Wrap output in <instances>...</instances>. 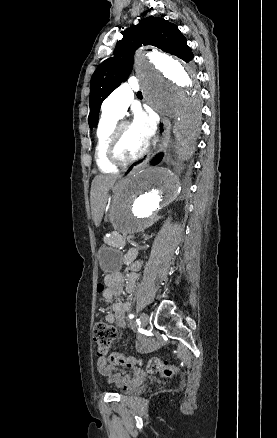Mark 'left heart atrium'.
Masks as SVG:
<instances>
[{
    "instance_id": "39dd6f15",
    "label": "left heart atrium",
    "mask_w": 277,
    "mask_h": 438,
    "mask_svg": "<svg viewBox=\"0 0 277 438\" xmlns=\"http://www.w3.org/2000/svg\"><path fill=\"white\" fill-rule=\"evenodd\" d=\"M133 128L145 145L153 133L154 126L152 121L146 115L138 112L135 114Z\"/></svg>"
}]
</instances>
